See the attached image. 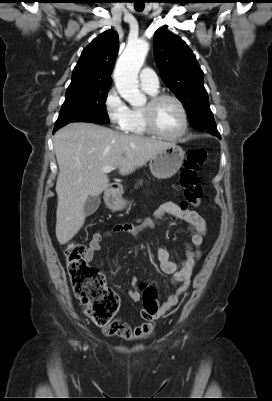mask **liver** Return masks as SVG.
<instances>
[{"label": "liver", "mask_w": 272, "mask_h": 401, "mask_svg": "<svg viewBox=\"0 0 272 401\" xmlns=\"http://www.w3.org/2000/svg\"><path fill=\"white\" fill-rule=\"evenodd\" d=\"M169 144L88 122H74L59 129L54 136L59 167L56 182L58 242L64 245L78 233L85 222L87 198L100 195L108 187L109 178L103 167L114 166L119 168L120 174H130Z\"/></svg>", "instance_id": "6515ba94"}]
</instances>
